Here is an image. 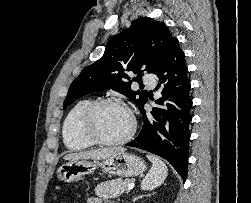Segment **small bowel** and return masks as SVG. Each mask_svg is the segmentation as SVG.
I'll return each instance as SVG.
<instances>
[{"label": "small bowel", "mask_w": 251, "mask_h": 203, "mask_svg": "<svg viewBox=\"0 0 251 203\" xmlns=\"http://www.w3.org/2000/svg\"><path fill=\"white\" fill-rule=\"evenodd\" d=\"M87 203H113V202L102 201V200L99 199V198L90 197V198L87 200Z\"/></svg>", "instance_id": "1"}]
</instances>
